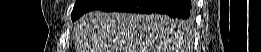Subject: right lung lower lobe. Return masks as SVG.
Returning <instances> with one entry per match:
<instances>
[{
  "label": "right lung lower lobe",
  "instance_id": "1",
  "mask_svg": "<svg viewBox=\"0 0 261 52\" xmlns=\"http://www.w3.org/2000/svg\"><path fill=\"white\" fill-rule=\"evenodd\" d=\"M193 3L190 0H106L94 10L107 12H133L164 14L170 17L190 19Z\"/></svg>",
  "mask_w": 261,
  "mask_h": 52
}]
</instances>
